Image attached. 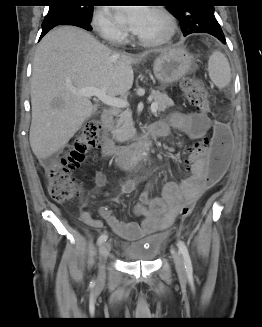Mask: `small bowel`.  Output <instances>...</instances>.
Wrapping results in <instances>:
<instances>
[{"label":"small bowel","instance_id":"1","mask_svg":"<svg viewBox=\"0 0 262 327\" xmlns=\"http://www.w3.org/2000/svg\"><path fill=\"white\" fill-rule=\"evenodd\" d=\"M214 124H220L210 119L204 113H175L171 116L169 123H158L159 137H167L170 128L185 134L191 140L207 137L213 130ZM204 153H189L188 159H184L182 169L186 170L188 177L180 182H167L164 184L159 196H152L153 183H149L140 195L139 201L134 206V214L141 218L140 222L119 221L107 207L100 209L101 217L107 225L118 236L124 239H137L146 234L164 230L169 227L174 218L180 214L179 208L186 200H196L206 190L208 185L204 184V175L207 165L205 161L198 162L194 168L193 160H204ZM106 181L103 173L96 174V182L104 184ZM134 190V183L127 182L123 185V191L130 193ZM80 205L83 208L81 220L96 229L104 226L102 219L93 218L88 210H85V201L82 198Z\"/></svg>","mask_w":262,"mask_h":327}]
</instances>
